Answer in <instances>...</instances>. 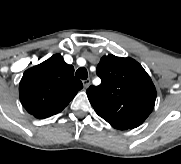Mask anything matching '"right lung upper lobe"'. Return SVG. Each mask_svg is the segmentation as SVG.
<instances>
[{
  "mask_svg": "<svg viewBox=\"0 0 181 164\" xmlns=\"http://www.w3.org/2000/svg\"><path fill=\"white\" fill-rule=\"evenodd\" d=\"M82 88V82L74 77V67L55 54L25 71L19 97L30 114L43 119L61 112Z\"/></svg>",
  "mask_w": 181,
  "mask_h": 164,
  "instance_id": "1",
  "label": "right lung upper lobe"
}]
</instances>
